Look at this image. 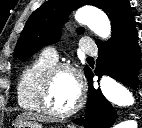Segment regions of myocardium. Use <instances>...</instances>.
<instances>
[{
    "mask_svg": "<svg viewBox=\"0 0 142 128\" xmlns=\"http://www.w3.org/2000/svg\"><path fill=\"white\" fill-rule=\"evenodd\" d=\"M61 71H67L71 73L76 80L78 88V96L74 105L65 111L55 110L49 104V90L51 83L55 75ZM84 100H85L84 84L78 70L73 65L69 63H57L52 65L50 68H48L45 71V73L42 76L38 90V102L42 111L53 117H60V118L68 117L74 114L75 112H77L82 107Z\"/></svg>",
    "mask_w": 142,
    "mask_h": 128,
    "instance_id": "obj_1",
    "label": "myocardium"
}]
</instances>
